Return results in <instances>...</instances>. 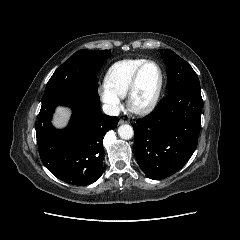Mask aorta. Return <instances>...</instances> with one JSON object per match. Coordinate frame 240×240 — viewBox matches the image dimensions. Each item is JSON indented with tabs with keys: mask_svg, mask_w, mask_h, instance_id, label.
Returning <instances> with one entry per match:
<instances>
[{
	"mask_svg": "<svg viewBox=\"0 0 240 240\" xmlns=\"http://www.w3.org/2000/svg\"><path fill=\"white\" fill-rule=\"evenodd\" d=\"M118 135L121 139L129 140L133 137V128L128 124H123L118 128Z\"/></svg>",
	"mask_w": 240,
	"mask_h": 240,
	"instance_id": "obj_1",
	"label": "aorta"
}]
</instances>
